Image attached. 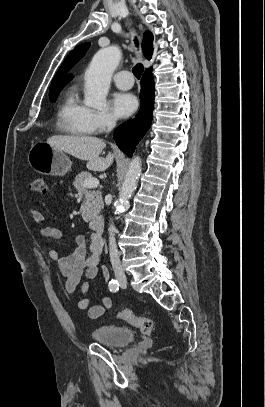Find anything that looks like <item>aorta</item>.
<instances>
[{
    "label": "aorta",
    "instance_id": "1",
    "mask_svg": "<svg viewBox=\"0 0 265 407\" xmlns=\"http://www.w3.org/2000/svg\"><path fill=\"white\" fill-rule=\"evenodd\" d=\"M121 59V52L117 46H110L99 50L92 58L85 72L84 103L93 108H103L109 91L111 77ZM141 173V159L134 157L128 167L125 180L117 200V211H123L129 206V198L137 188Z\"/></svg>",
    "mask_w": 265,
    "mask_h": 407
}]
</instances>
